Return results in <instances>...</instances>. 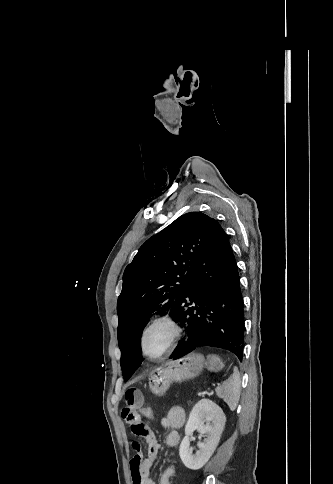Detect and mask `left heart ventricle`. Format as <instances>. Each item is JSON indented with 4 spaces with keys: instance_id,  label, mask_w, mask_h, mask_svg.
I'll list each match as a JSON object with an SVG mask.
<instances>
[{
    "instance_id": "1",
    "label": "left heart ventricle",
    "mask_w": 333,
    "mask_h": 484,
    "mask_svg": "<svg viewBox=\"0 0 333 484\" xmlns=\"http://www.w3.org/2000/svg\"><path fill=\"white\" fill-rule=\"evenodd\" d=\"M169 333L170 331L166 326L159 325L154 327L147 335L146 350L150 354L158 353L164 346Z\"/></svg>"
}]
</instances>
